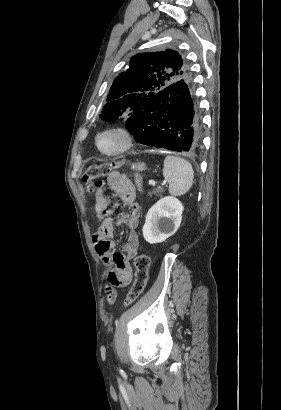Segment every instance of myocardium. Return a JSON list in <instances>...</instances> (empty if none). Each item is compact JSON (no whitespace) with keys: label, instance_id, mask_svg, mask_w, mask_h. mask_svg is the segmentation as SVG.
<instances>
[{"label":"myocardium","instance_id":"1","mask_svg":"<svg viewBox=\"0 0 281 410\" xmlns=\"http://www.w3.org/2000/svg\"><path fill=\"white\" fill-rule=\"evenodd\" d=\"M105 135L116 136L120 140L119 146L112 150H104L100 145V140ZM134 142L135 137L132 131L129 128L121 125L106 127L97 132L94 138V144L97 151L100 154L108 157L118 156L126 153L133 147Z\"/></svg>","mask_w":281,"mask_h":410}]
</instances>
